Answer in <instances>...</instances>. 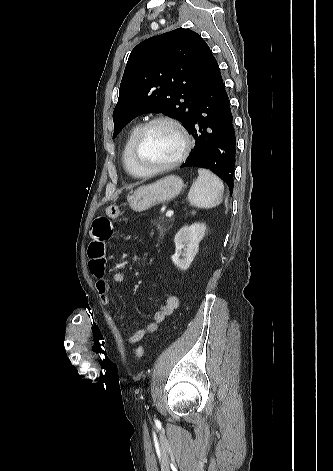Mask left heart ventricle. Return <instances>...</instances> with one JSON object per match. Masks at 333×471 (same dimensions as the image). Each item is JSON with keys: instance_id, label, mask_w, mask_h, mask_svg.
I'll return each instance as SVG.
<instances>
[{"instance_id": "b2bd125f", "label": "left heart ventricle", "mask_w": 333, "mask_h": 471, "mask_svg": "<svg viewBox=\"0 0 333 471\" xmlns=\"http://www.w3.org/2000/svg\"><path fill=\"white\" fill-rule=\"evenodd\" d=\"M181 145L180 136L172 126L164 123L156 124L146 135L142 159L151 165L169 163L178 157Z\"/></svg>"}]
</instances>
